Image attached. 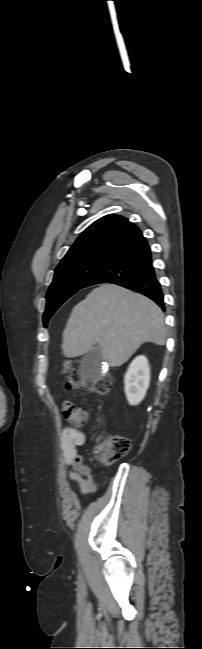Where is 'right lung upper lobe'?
Here are the masks:
<instances>
[{"label":"right lung upper lobe","mask_w":202,"mask_h":649,"mask_svg":"<svg viewBox=\"0 0 202 649\" xmlns=\"http://www.w3.org/2000/svg\"><path fill=\"white\" fill-rule=\"evenodd\" d=\"M144 239L136 225L122 216L110 214L86 228L64 258L87 252H109L116 255Z\"/></svg>","instance_id":"1"}]
</instances>
